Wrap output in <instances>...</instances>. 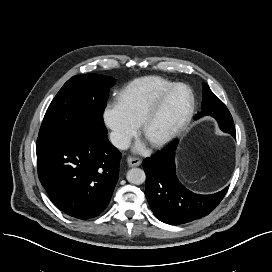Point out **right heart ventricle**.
I'll return each instance as SVG.
<instances>
[{
    "label": "right heart ventricle",
    "instance_id": "1",
    "mask_svg": "<svg viewBox=\"0 0 272 272\" xmlns=\"http://www.w3.org/2000/svg\"><path fill=\"white\" fill-rule=\"evenodd\" d=\"M172 85V82L162 77L138 78L120 91L118 103L127 117L138 126L152 104Z\"/></svg>",
    "mask_w": 272,
    "mask_h": 272
}]
</instances>
